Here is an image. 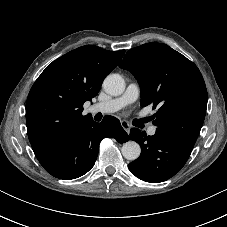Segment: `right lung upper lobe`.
<instances>
[{
  "mask_svg": "<svg viewBox=\"0 0 227 227\" xmlns=\"http://www.w3.org/2000/svg\"><path fill=\"white\" fill-rule=\"evenodd\" d=\"M125 50L86 45L53 61L32 86L26 103L28 137L38 161L92 118L83 104L95 97Z\"/></svg>",
  "mask_w": 227,
  "mask_h": 227,
  "instance_id": "right-lung-upper-lobe-1",
  "label": "right lung upper lobe"
}]
</instances>
